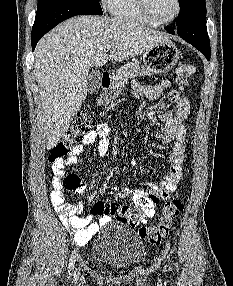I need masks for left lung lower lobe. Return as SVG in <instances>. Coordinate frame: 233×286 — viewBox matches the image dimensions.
Wrapping results in <instances>:
<instances>
[{
  "label": "left lung lower lobe",
  "mask_w": 233,
  "mask_h": 286,
  "mask_svg": "<svg viewBox=\"0 0 233 286\" xmlns=\"http://www.w3.org/2000/svg\"><path fill=\"white\" fill-rule=\"evenodd\" d=\"M166 30L171 34H178L185 41L196 47L207 60H210V40L206 27V11L197 13L188 21L176 26L175 30L170 26Z\"/></svg>",
  "instance_id": "obj_1"
}]
</instances>
